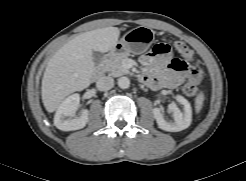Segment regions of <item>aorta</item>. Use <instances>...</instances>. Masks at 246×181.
Returning <instances> with one entry per match:
<instances>
[{
	"label": "aorta",
	"instance_id": "aorta-1",
	"mask_svg": "<svg viewBox=\"0 0 246 181\" xmlns=\"http://www.w3.org/2000/svg\"><path fill=\"white\" fill-rule=\"evenodd\" d=\"M117 84L121 89H127L130 87V80L128 77L123 76L118 79Z\"/></svg>",
	"mask_w": 246,
	"mask_h": 181
}]
</instances>
